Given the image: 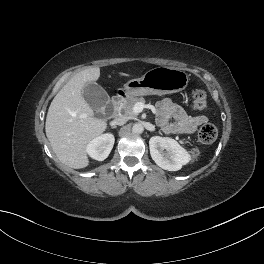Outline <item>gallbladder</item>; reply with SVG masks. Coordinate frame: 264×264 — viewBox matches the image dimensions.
Masks as SVG:
<instances>
[{
	"label": "gallbladder",
	"mask_w": 264,
	"mask_h": 264,
	"mask_svg": "<svg viewBox=\"0 0 264 264\" xmlns=\"http://www.w3.org/2000/svg\"><path fill=\"white\" fill-rule=\"evenodd\" d=\"M83 98L86 103L96 111V116L101 117L99 111L110 102L107 92L97 83H87L83 88Z\"/></svg>",
	"instance_id": "gallbladder-1"
}]
</instances>
